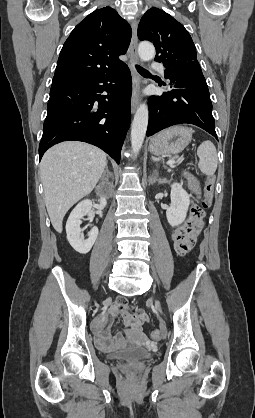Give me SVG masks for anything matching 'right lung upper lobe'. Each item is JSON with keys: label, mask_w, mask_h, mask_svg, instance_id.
Segmentation results:
<instances>
[{"label": "right lung upper lobe", "mask_w": 255, "mask_h": 418, "mask_svg": "<svg viewBox=\"0 0 255 418\" xmlns=\"http://www.w3.org/2000/svg\"><path fill=\"white\" fill-rule=\"evenodd\" d=\"M132 31L111 7L95 10L80 22L65 41L52 83L106 75L126 64Z\"/></svg>", "instance_id": "cb5924a9"}]
</instances>
